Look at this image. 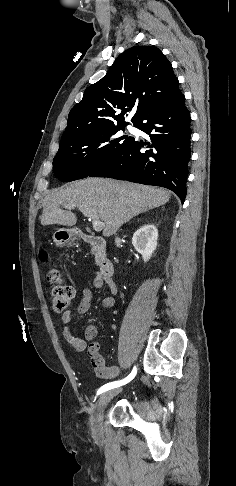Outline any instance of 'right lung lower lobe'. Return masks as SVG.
<instances>
[{
    "instance_id": "obj_1",
    "label": "right lung lower lobe",
    "mask_w": 236,
    "mask_h": 486,
    "mask_svg": "<svg viewBox=\"0 0 236 486\" xmlns=\"http://www.w3.org/2000/svg\"><path fill=\"white\" fill-rule=\"evenodd\" d=\"M190 121L183 94L150 106L134 123L150 136L144 143L146 152H140L143 143L133 139L89 176L165 187L184 202L191 156Z\"/></svg>"
}]
</instances>
